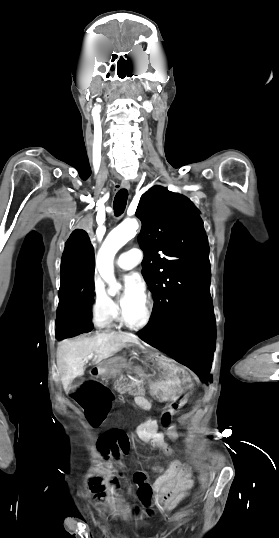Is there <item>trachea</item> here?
<instances>
[{
	"mask_svg": "<svg viewBox=\"0 0 279 538\" xmlns=\"http://www.w3.org/2000/svg\"><path fill=\"white\" fill-rule=\"evenodd\" d=\"M128 192L125 188L119 190L114 198L113 209L116 217L124 213L127 205Z\"/></svg>",
	"mask_w": 279,
	"mask_h": 538,
	"instance_id": "3493384b",
	"label": "trachea"
}]
</instances>
